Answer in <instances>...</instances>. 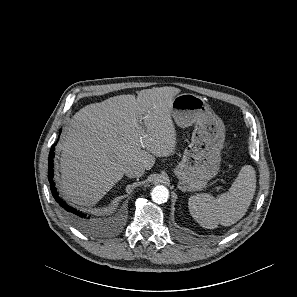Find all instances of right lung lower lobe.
Wrapping results in <instances>:
<instances>
[{"label":"right lung lower lobe","instance_id":"obj_1","mask_svg":"<svg viewBox=\"0 0 297 297\" xmlns=\"http://www.w3.org/2000/svg\"><path fill=\"white\" fill-rule=\"evenodd\" d=\"M61 132V129L60 131ZM55 145H52L50 153H49V158H48V179L50 182V186H51V192L52 195L54 196L55 200L58 202V204L68 213L69 216H71L75 222H77L78 224H85V222L87 221L86 219V215L80 211H78L77 209L67 205L58 195L56 188H55V183L53 182V158H54V150H55Z\"/></svg>","mask_w":297,"mask_h":297}]
</instances>
